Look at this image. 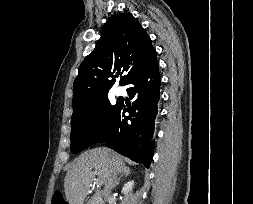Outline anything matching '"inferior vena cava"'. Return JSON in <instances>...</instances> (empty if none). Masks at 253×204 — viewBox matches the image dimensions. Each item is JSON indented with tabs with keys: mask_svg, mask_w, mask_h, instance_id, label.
<instances>
[{
	"mask_svg": "<svg viewBox=\"0 0 253 204\" xmlns=\"http://www.w3.org/2000/svg\"><path fill=\"white\" fill-rule=\"evenodd\" d=\"M115 183H116V175L115 174L110 175L107 178V181L104 187V192H105L106 197L111 193V190L114 188Z\"/></svg>",
	"mask_w": 253,
	"mask_h": 204,
	"instance_id": "602c4592",
	"label": "inferior vena cava"
}]
</instances>
